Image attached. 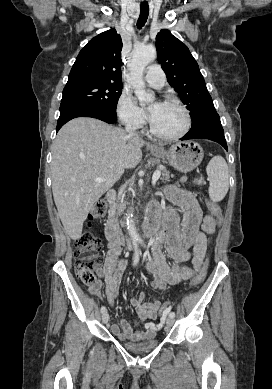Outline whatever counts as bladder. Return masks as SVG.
I'll return each mask as SVG.
<instances>
[{
    "label": "bladder",
    "instance_id": "31cf9c89",
    "mask_svg": "<svg viewBox=\"0 0 272 389\" xmlns=\"http://www.w3.org/2000/svg\"><path fill=\"white\" fill-rule=\"evenodd\" d=\"M122 346L132 353H144L156 348L158 346V340L150 339L139 343L123 341Z\"/></svg>",
    "mask_w": 272,
    "mask_h": 389
}]
</instances>
